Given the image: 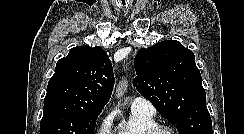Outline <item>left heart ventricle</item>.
Segmentation results:
<instances>
[{"label": "left heart ventricle", "mask_w": 244, "mask_h": 134, "mask_svg": "<svg viewBox=\"0 0 244 134\" xmlns=\"http://www.w3.org/2000/svg\"><path fill=\"white\" fill-rule=\"evenodd\" d=\"M160 134H169L168 132H161Z\"/></svg>", "instance_id": "left-heart-ventricle-1"}]
</instances>
